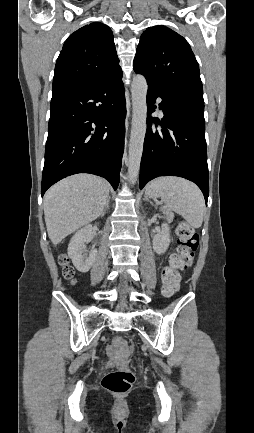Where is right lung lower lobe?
I'll list each match as a JSON object with an SVG mask.
<instances>
[{"mask_svg": "<svg viewBox=\"0 0 254 433\" xmlns=\"http://www.w3.org/2000/svg\"><path fill=\"white\" fill-rule=\"evenodd\" d=\"M50 110L41 195L77 173L104 177L116 190L125 136L122 76L53 89Z\"/></svg>", "mask_w": 254, "mask_h": 433, "instance_id": "1", "label": "right lung lower lobe"}]
</instances>
